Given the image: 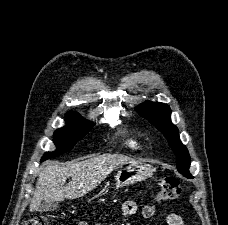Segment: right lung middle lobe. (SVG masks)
I'll list each match as a JSON object with an SVG mask.
<instances>
[{"instance_id": "right-lung-middle-lobe-1", "label": "right lung middle lobe", "mask_w": 228, "mask_h": 225, "mask_svg": "<svg viewBox=\"0 0 228 225\" xmlns=\"http://www.w3.org/2000/svg\"><path fill=\"white\" fill-rule=\"evenodd\" d=\"M66 123L65 127L54 133V144L57 150L45 153L41 161L70 151L76 142L82 139L94 125L74 111L67 112Z\"/></svg>"}]
</instances>
